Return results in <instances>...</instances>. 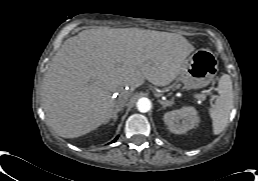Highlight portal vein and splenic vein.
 <instances>
[{
    "mask_svg": "<svg viewBox=\"0 0 258 181\" xmlns=\"http://www.w3.org/2000/svg\"><path fill=\"white\" fill-rule=\"evenodd\" d=\"M199 95H195L196 98H198Z\"/></svg>",
    "mask_w": 258,
    "mask_h": 181,
    "instance_id": "obj_1",
    "label": "portal vein and splenic vein"
}]
</instances>
